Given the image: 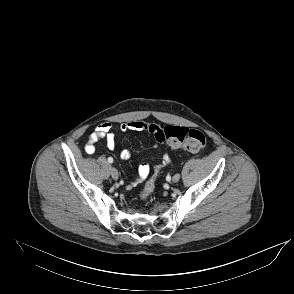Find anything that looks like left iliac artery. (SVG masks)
Segmentation results:
<instances>
[{
    "label": "left iliac artery",
    "mask_w": 294,
    "mask_h": 294,
    "mask_svg": "<svg viewBox=\"0 0 294 294\" xmlns=\"http://www.w3.org/2000/svg\"><path fill=\"white\" fill-rule=\"evenodd\" d=\"M171 178H172V173L168 172L166 177V182H171Z\"/></svg>",
    "instance_id": "44dca946"
}]
</instances>
